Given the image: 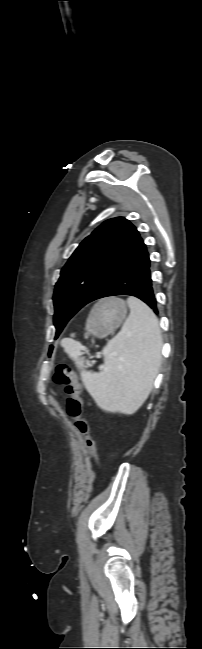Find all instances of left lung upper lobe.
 <instances>
[{"label":"left lung upper lobe","instance_id":"1","mask_svg":"<svg viewBox=\"0 0 202 649\" xmlns=\"http://www.w3.org/2000/svg\"><path fill=\"white\" fill-rule=\"evenodd\" d=\"M138 236L130 221L117 217L103 222L78 246L55 285L56 337L70 318L93 300L99 286Z\"/></svg>","mask_w":202,"mask_h":649}]
</instances>
